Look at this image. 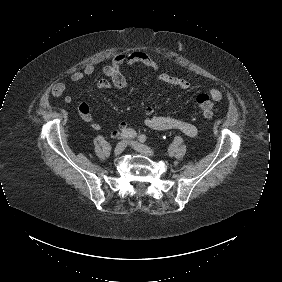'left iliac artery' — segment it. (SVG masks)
Instances as JSON below:
<instances>
[{
    "instance_id": "1",
    "label": "left iliac artery",
    "mask_w": 282,
    "mask_h": 282,
    "mask_svg": "<svg viewBox=\"0 0 282 282\" xmlns=\"http://www.w3.org/2000/svg\"><path fill=\"white\" fill-rule=\"evenodd\" d=\"M146 140H147L146 135L142 134V135L139 136V141L140 142H145Z\"/></svg>"
}]
</instances>
